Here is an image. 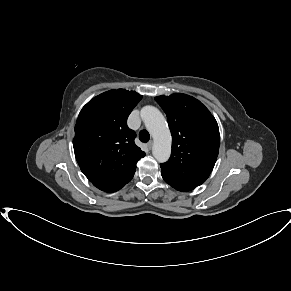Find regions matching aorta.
Wrapping results in <instances>:
<instances>
[{"label": "aorta", "mask_w": 291, "mask_h": 291, "mask_svg": "<svg viewBox=\"0 0 291 291\" xmlns=\"http://www.w3.org/2000/svg\"><path fill=\"white\" fill-rule=\"evenodd\" d=\"M141 118L154 140L153 156L160 163L166 162L171 154V134L164 116L156 107L145 106Z\"/></svg>", "instance_id": "1"}]
</instances>
